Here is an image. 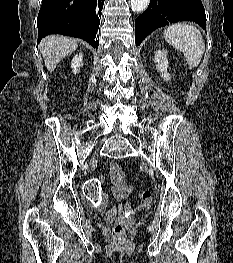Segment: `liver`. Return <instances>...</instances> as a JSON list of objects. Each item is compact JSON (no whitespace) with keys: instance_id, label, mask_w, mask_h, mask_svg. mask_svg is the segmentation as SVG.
Listing matches in <instances>:
<instances>
[{"instance_id":"obj_1","label":"liver","mask_w":233,"mask_h":263,"mask_svg":"<svg viewBox=\"0 0 233 263\" xmlns=\"http://www.w3.org/2000/svg\"><path fill=\"white\" fill-rule=\"evenodd\" d=\"M78 47L77 40L61 35H51L39 44L46 68L52 72L57 64Z\"/></svg>"}]
</instances>
